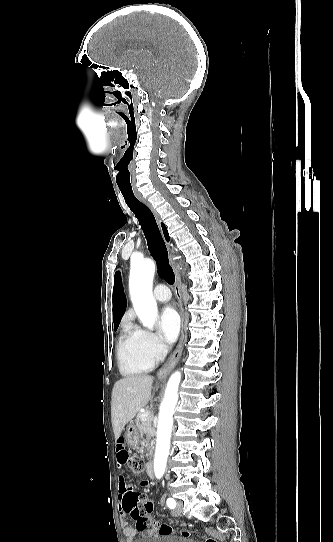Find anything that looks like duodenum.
Instances as JSON below:
<instances>
[{"label":"duodenum","mask_w":333,"mask_h":542,"mask_svg":"<svg viewBox=\"0 0 333 542\" xmlns=\"http://www.w3.org/2000/svg\"><path fill=\"white\" fill-rule=\"evenodd\" d=\"M147 474L149 477L154 476V464L153 461H149L146 466Z\"/></svg>","instance_id":"1"}]
</instances>
